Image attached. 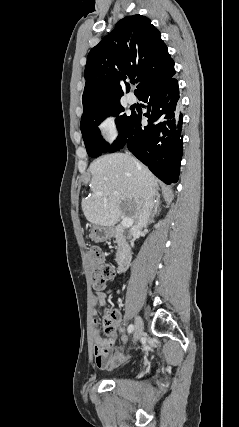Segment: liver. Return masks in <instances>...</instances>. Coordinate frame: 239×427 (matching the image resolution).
Wrapping results in <instances>:
<instances>
[{"mask_svg": "<svg viewBox=\"0 0 239 427\" xmlns=\"http://www.w3.org/2000/svg\"><path fill=\"white\" fill-rule=\"evenodd\" d=\"M91 196L82 199L86 219L94 225L112 227L120 218H145L154 207L157 178L130 154L101 156L89 166ZM149 203L145 206V199ZM122 201L131 208L125 211Z\"/></svg>", "mask_w": 239, "mask_h": 427, "instance_id": "obj_1", "label": "liver"}]
</instances>
